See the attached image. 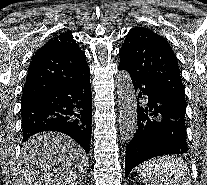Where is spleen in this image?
I'll return each instance as SVG.
<instances>
[{"label":"spleen","instance_id":"obj_1","mask_svg":"<svg viewBox=\"0 0 207 185\" xmlns=\"http://www.w3.org/2000/svg\"><path fill=\"white\" fill-rule=\"evenodd\" d=\"M160 158H177V153H160ZM137 177L148 185H189L192 183L191 170L186 167V159H149L133 166Z\"/></svg>","mask_w":207,"mask_h":185}]
</instances>
